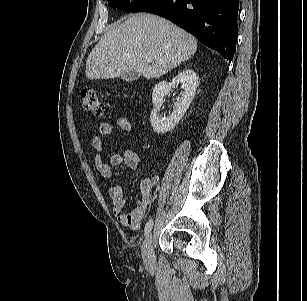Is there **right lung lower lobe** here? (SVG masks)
<instances>
[{"label":"right lung lower lobe","mask_w":307,"mask_h":301,"mask_svg":"<svg viewBox=\"0 0 307 301\" xmlns=\"http://www.w3.org/2000/svg\"><path fill=\"white\" fill-rule=\"evenodd\" d=\"M239 0H155L140 12L169 19L231 62L238 35Z\"/></svg>","instance_id":"98d812e1"}]
</instances>
